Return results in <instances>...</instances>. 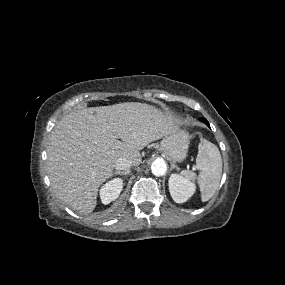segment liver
I'll use <instances>...</instances> for the list:
<instances>
[{"mask_svg":"<svg viewBox=\"0 0 285 285\" xmlns=\"http://www.w3.org/2000/svg\"><path fill=\"white\" fill-rule=\"evenodd\" d=\"M179 129L167 112L138 102L74 110L53 129L47 166L56 196L80 213H91L100 185L117 159L141 161L140 150Z\"/></svg>","mask_w":285,"mask_h":285,"instance_id":"6515ba94","label":"liver"}]
</instances>
